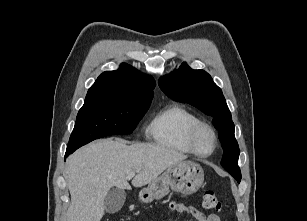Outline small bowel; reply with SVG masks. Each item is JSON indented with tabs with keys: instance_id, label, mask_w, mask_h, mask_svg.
<instances>
[{
	"instance_id": "small-bowel-1",
	"label": "small bowel",
	"mask_w": 307,
	"mask_h": 221,
	"mask_svg": "<svg viewBox=\"0 0 307 221\" xmlns=\"http://www.w3.org/2000/svg\"><path fill=\"white\" fill-rule=\"evenodd\" d=\"M174 213H186L194 216L197 221H220V218L216 214L206 215L201 211H198L193 206H187L181 203L172 202L169 204L168 214L172 216Z\"/></svg>"
}]
</instances>
